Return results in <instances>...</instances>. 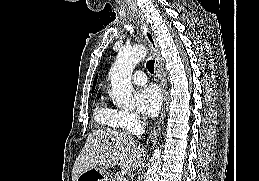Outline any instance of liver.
Listing matches in <instances>:
<instances>
[{
	"mask_svg": "<svg viewBox=\"0 0 259 181\" xmlns=\"http://www.w3.org/2000/svg\"><path fill=\"white\" fill-rule=\"evenodd\" d=\"M144 162V152L137 141L126 133L99 130L90 134L72 169V181L84 171L100 167L119 166L122 170L138 169Z\"/></svg>",
	"mask_w": 259,
	"mask_h": 181,
	"instance_id": "obj_1",
	"label": "liver"
}]
</instances>
